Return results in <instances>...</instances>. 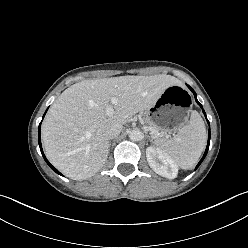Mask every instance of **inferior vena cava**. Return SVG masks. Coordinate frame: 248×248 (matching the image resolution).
Returning a JSON list of instances; mask_svg holds the SVG:
<instances>
[{
	"instance_id": "inferior-vena-cava-1",
	"label": "inferior vena cava",
	"mask_w": 248,
	"mask_h": 248,
	"mask_svg": "<svg viewBox=\"0 0 248 248\" xmlns=\"http://www.w3.org/2000/svg\"><path fill=\"white\" fill-rule=\"evenodd\" d=\"M123 126L120 124H112L107 127L105 135L108 139H113L118 136L122 131Z\"/></svg>"
}]
</instances>
